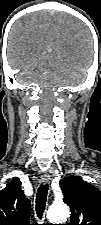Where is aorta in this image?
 I'll return each mask as SVG.
<instances>
[{
  "mask_svg": "<svg viewBox=\"0 0 101 225\" xmlns=\"http://www.w3.org/2000/svg\"><path fill=\"white\" fill-rule=\"evenodd\" d=\"M70 216V210L68 206L64 204H54L52 205L47 212V218L50 222L55 224H60L66 221Z\"/></svg>",
  "mask_w": 101,
  "mask_h": 225,
  "instance_id": "1",
  "label": "aorta"
}]
</instances>
